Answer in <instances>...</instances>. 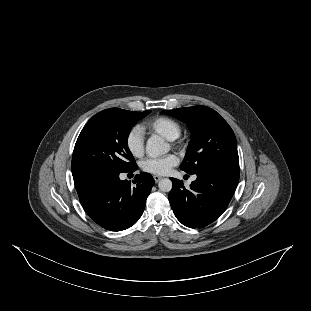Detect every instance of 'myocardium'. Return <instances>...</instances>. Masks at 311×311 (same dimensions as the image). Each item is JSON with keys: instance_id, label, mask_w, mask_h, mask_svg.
<instances>
[{"instance_id": "obj_1", "label": "myocardium", "mask_w": 311, "mask_h": 311, "mask_svg": "<svg viewBox=\"0 0 311 311\" xmlns=\"http://www.w3.org/2000/svg\"><path fill=\"white\" fill-rule=\"evenodd\" d=\"M171 144L178 147V148H181L184 150L185 146L183 143H181L178 139L176 140H170Z\"/></svg>"}]
</instances>
